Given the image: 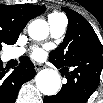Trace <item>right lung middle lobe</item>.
Listing matches in <instances>:
<instances>
[{
  "mask_svg": "<svg viewBox=\"0 0 103 103\" xmlns=\"http://www.w3.org/2000/svg\"><path fill=\"white\" fill-rule=\"evenodd\" d=\"M4 42L0 39V50L2 49V44H3ZM5 44H9V43H5ZM10 45V44H9Z\"/></svg>",
  "mask_w": 103,
  "mask_h": 103,
  "instance_id": "1",
  "label": "right lung middle lobe"
}]
</instances>
